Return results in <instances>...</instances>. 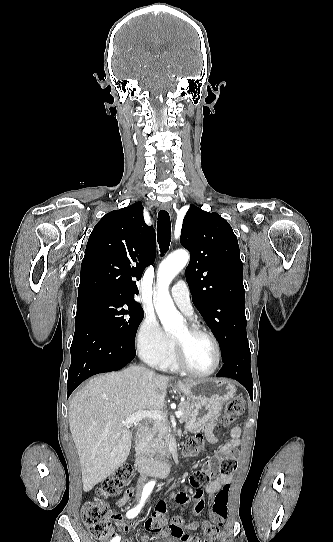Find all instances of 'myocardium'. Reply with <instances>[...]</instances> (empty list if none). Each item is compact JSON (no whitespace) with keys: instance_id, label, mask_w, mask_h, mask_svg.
<instances>
[{"instance_id":"1","label":"myocardium","mask_w":333,"mask_h":542,"mask_svg":"<svg viewBox=\"0 0 333 542\" xmlns=\"http://www.w3.org/2000/svg\"><path fill=\"white\" fill-rule=\"evenodd\" d=\"M188 330L191 334H198V335H204L206 336L214 345V348H215V352H216V360H215V364L214 366L209 370V371H206V372H195L193 371L192 369L189 368V366L187 365L186 361H185V358H184V353H183V349L181 347V345L176 342L175 340L171 339V356L175 362V364L177 365V367L182 370L184 373L190 375V376H193V377H208V376H211L213 375L219 368L220 364H221V358H222V353H221V347H220V344H219V341L217 340V338L215 337V335L207 330L206 328L200 326V325H197V324H191L188 326Z\"/></svg>"}]
</instances>
